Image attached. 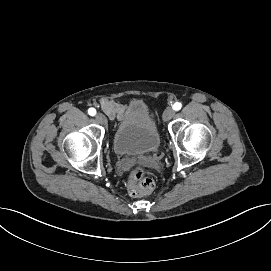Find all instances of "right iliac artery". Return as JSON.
I'll use <instances>...</instances> for the list:
<instances>
[{"mask_svg":"<svg viewBox=\"0 0 271 271\" xmlns=\"http://www.w3.org/2000/svg\"><path fill=\"white\" fill-rule=\"evenodd\" d=\"M88 113L89 115L94 116L96 114V110L94 108H89Z\"/></svg>","mask_w":271,"mask_h":271,"instance_id":"right-iliac-artery-1","label":"right iliac artery"}]
</instances>
